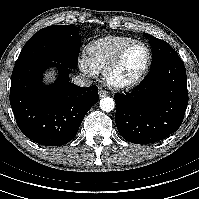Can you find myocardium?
<instances>
[{"label": "myocardium", "instance_id": "1", "mask_svg": "<svg viewBox=\"0 0 199 199\" xmlns=\"http://www.w3.org/2000/svg\"><path fill=\"white\" fill-rule=\"evenodd\" d=\"M136 46H143L147 53L146 62L144 64V67L140 71V73L132 80L125 81V82H118L113 79L114 72L120 67L122 64L126 54L134 47ZM152 64V52L149 46L142 42V41H134L127 46H125L113 59V61L104 69L103 76L104 81L110 88L114 90H130L135 87H137L146 77L148 74L150 67Z\"/></svg>", "mask_w": 199, "mask_h": 199}]
</instances>
